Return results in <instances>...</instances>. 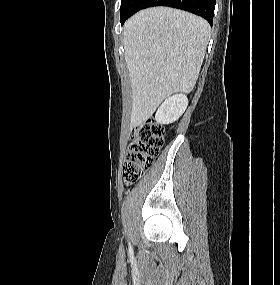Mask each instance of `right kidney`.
I'll return each mask as SVG.
<instances>
[{
	"instance_id": "ca27d5eb",
	"label": "right kidney",
	"mask_w": 280,
	"mask_h": 285,
	"mask_svg": "<svg viewBox=\"0 0 280 285\" xmlns=\"http://www.w3.org/2000/svg\"><path fill=\"white\" fill-rule=\"evenodd\" d=\"M188 106L186 95L177 94L166 99L158 108L155 120L160 124H170L179 119Z\"/></svg>"
}]
</instances>
